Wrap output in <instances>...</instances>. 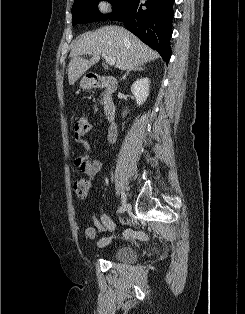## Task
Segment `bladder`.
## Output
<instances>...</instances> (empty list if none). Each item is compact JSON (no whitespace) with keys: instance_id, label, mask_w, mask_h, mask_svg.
Instances as JSON below:
<instances>
[{"instance_id":"31cf9c89","label":"bladder","mask_w":245,"mask_h":314,"mask_svg":"<svg viewBox=\"0 0 245 314\" xmlns=\"http://www.w3.org/2000/svg\"><path fill=\"white\" fill-rule=\"evenodd\" d=\"M109 256L112 260H118L122 262H132L135 259V252L133 249L127 246H117L110 251Z\"/></svg>"}]
</instances>
